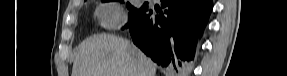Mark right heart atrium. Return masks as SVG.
Instances as JSON below:
<instances>
[{"instance_id":"1","label":"right heart atrium","mask_w":287,"mask_h":76,"mask_svg":"<svg viewBox=\"0 0 287 76\" xmlns=\"http://www.w3.org/2000/svg\"><path fill=\"white\" fill-rule=\"evenodd\" d=\"M97 16L103 27L114 29L124 22V14L121 8L112 2L101 4L97 9Z\"/></svg>"}]
</instances>
